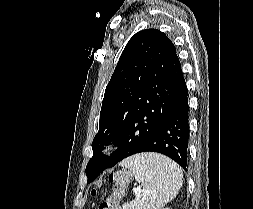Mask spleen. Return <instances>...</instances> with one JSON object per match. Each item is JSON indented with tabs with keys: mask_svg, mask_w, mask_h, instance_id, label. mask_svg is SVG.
I'll use <instances>...</instances> for the list:
<instances>
[{
	"mask_svg": "<svg viewBox=\"0 0 253 209\" xmlns=\"http://www.w3.org/2000/svg\"><path fill=\"white\" fill-rule=\"evenodd\" d=\"M120 165L132 171L142 183L141 193L123 209H160L176 197L183 184L180 167L156 153H142L123 160Z\"/></svg>",
	"mask_w": 253,
	"mask_h": 209,
	"instance_id": "spleen-1",
	"label": "spleen"
}]
</instances>
